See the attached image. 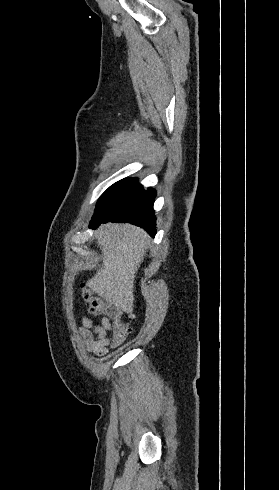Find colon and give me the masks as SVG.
Segmentation results:
<instances>
[{"mask_svg": "<svg viewBox=\"0 0 279 490\" xmlns=\"http://www.w3.org/2000/svg\"><path fill=\"white\" fill-rule=\"evenodd\" d=\"M82 295L91 315L105 317L111 321L112 347L118 348L131 332L123 312L90 290H84Z\"/></svg>", "mask_w": 279, "mask_h": 490, "instance_id": "1", "label": "colon"}]
</instances>
